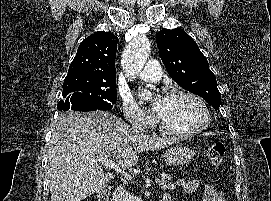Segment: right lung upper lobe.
Wrapping results in <instances>:
<instances>
[{"mask_svg": "<svg viewBox=\"0 0 271 201\" xmlns=\"http://www.w3.org/2000/svg\"><path fill=\"white\" fill-rule=\"evenodd\" d=\"M119 39L112 33L98 31L84 39L69 66L68 73L94 72L116 74L115 57Z\"/></svg>", "mask_w": 271, "mask_h": 201, "instance_id": "right-lung-upper-lobe-1", "label": "right lung upper lobe"}]
</instances>
